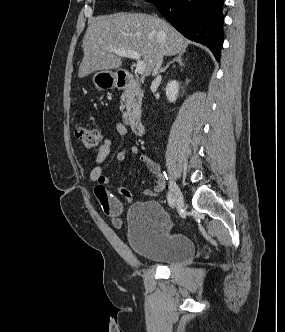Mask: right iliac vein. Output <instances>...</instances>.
<instances>
[{"label":"right iliac vein","mask_w":285,"mask_h":332,"mask_svg":"<svg viewBox=\"0 0 285 332\" xmlns=\"http://www.w3.org/2000/svg\"><path fill=\"white\" fill-rule=\"evenodd\" d=\"M169 184H170V193L172 194V196L174 198V203H175L176 207L178 209H182L184 206V200H183V196H182V193H181L178 185L176 184L174 179H170Z\"/></svg>","instance_id":"obj_1"}]
</instances>
